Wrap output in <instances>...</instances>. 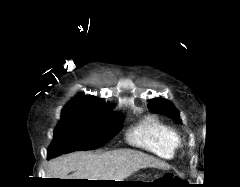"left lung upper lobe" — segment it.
Returning <instances> with one entry per match:
<instances>
[{"mask_svg":"<svg viewBox=\"0 0 240 187\" xmlns=\"http://www.w3.org/2000/svg\"><path fill=\"white\" fill-rule=\"evenodd\" d=\"M148 107L153 112H159L171 117L176 123H180L179 112L177 109L167 100L161 98H155L149 100Z\"/></svg>","mask_w":240,"mask_h":187,"instance_id":"5c2ea615","label":"left lung upper lobe"}]
</instances>
